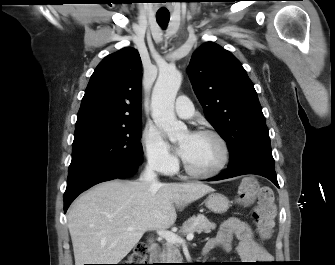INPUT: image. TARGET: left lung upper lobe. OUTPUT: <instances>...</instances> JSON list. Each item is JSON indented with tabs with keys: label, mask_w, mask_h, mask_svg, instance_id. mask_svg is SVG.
<instances>
[{
	"label": "left lung upper lobe",
	"mask_w": 335,
	"mask_h": 265,
	"mask_svg": "<svg viewBox=\"0 0 335 265\" xmlns=\"http://www.w3.org/2000/svg\"><path fill=\"white\" fill-rule=\"evenodd\" d=\"M187 71L206 118L228 144L229 167L274 168L265 117L241 63L229 51L207 42L193 53Z\"/></svg>",
	"instance_id": "1"
}]
</instances>
